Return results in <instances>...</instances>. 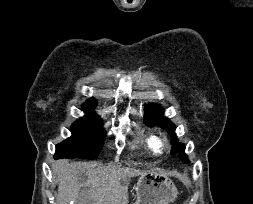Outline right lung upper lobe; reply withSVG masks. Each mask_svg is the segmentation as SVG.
<instances>
[{
    "label": "right lung upper lobe",
    "mask_w": 253,
    "mask_h": 204,
    "mask_svg": "<svg viewBox=\"0 0 253 204\" xmlns=\"http://www.w3.org/2000/svg\"><path fill=\"white\" fill-rule=\"evenodd\" d=\"M95 105H96L95 99H89V100H87L86 103L84 104V106L90 107V108H94Z\"/></svg>",
    "instance_id": "1"
}]
</instances>
